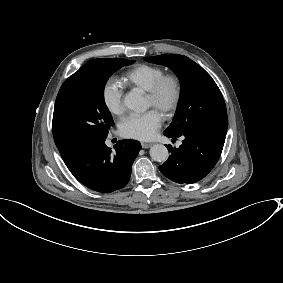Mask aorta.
I'll list each match as a JSON object with an SVG mask.
<instances>
[{
  "label": "aorta",
  "instance_id": "1",
  "mask_svg": "<svg viewBox=\"0 0 283 283\" xmlns=\"http://www.w3.org/2000/svg\"><path fill=\"white\" fill-rule=\"evenodd\" d=\"M124 105L137 113L147 110V104L144 98L137 93H129L124 98ZM150 156L156 162H165L169 157L168 149L162 144H155L150 148Z\"/></svg>",
  "mask_w": 283,
  "mask_h": 283
}]
</instances>
